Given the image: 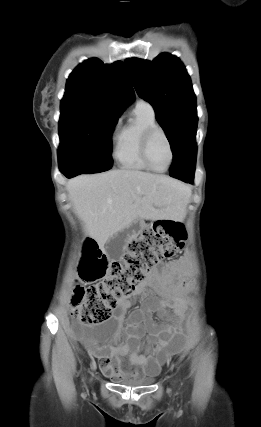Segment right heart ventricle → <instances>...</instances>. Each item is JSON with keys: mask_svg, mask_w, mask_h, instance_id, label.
Here are the masks:
<instances>
[{"mask_svg": "<svg viewBox=\"0 0 261 427\" xmlns=\"http://www.w3.org/2000/svg\"><path fill=\"white\" fill-rule=\"evenodd\" d=\"M155 126L154 113L135 107L133 120L120 129L116 138L114 157L120 167L135 171L150 170L141 158L140 146L144 132Z\"/></svg>", "mask_w": 261, "mask_h": 427, "instance_id": "obj_1", "label": "right heart ventricle"}]
</instances>
